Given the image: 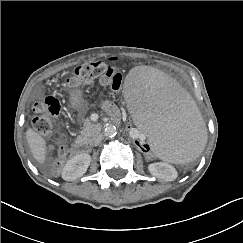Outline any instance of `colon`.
<instances>
[{
	"label": "colon",
	"instance_id": "colon-1",
	"mask_svg": "<svg viewBox=\"0 0 243 243\" xmlns=\"http://www.w3.org/2000/svg\"><path fill=\"white\" fill-rule=\"evenodd\" d=\"M117 63L118 58L112 57L107 61H97L80 65L67 80V86L70 89H77L98 80L102 85L118 91L122 86L123 76ZM119 102H122V99H119ZM33 112L35 114L33 119L34 128L43 134H48L54 128V118L60 115L61 103L56 97L48 95L34 104ZM123 126L125 143L139 151H143L146 159L150 163L157 164L159 159L152 155L150 144L132 137V119L128 116V112H125ZM62 138L65 139L64 136ZM53 149V147L50 148L51 151ZM69 156L70 150L66 146H62L58 151V158L55 161L56 168L60 169L64 160Z\"/></svg>",
	"mask_w": 243,
	"mask_h": 243
}]
</instances>
